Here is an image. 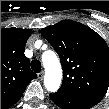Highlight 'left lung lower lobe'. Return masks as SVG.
Listing matches in <instances>:
<instances>
[{
  "label": "left lung lower lobe",
  "mask_w": 109,
  "mask_h": 109,
  "mask_svg": "<svg viewBox=\"0 0 109 109\" xmlns=\"http://www.w3.org/2000/svg\"><path fill=\"white\" fill-rule=\"evenodd\" d=\"M53 102L62 109H89L94 106L89 101L80 99L62 91L50 94Z\"/></svg>",
  "instance_id": "1"
}]
</instances>
